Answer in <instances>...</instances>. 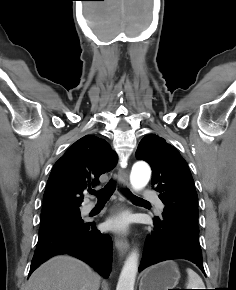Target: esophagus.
<instances>
[{
	"instance_id": "34e87169",
	"label": "esophagus",
	"mask_w": 236,
	"mask_h": 290,
	"mask_svg": "<svg viewBox=\"0 0 236 290\" xmlns=\"http://www.w3.org/2000/svg\"><path fill=\"white\" fill-rule=\"evenodd\" d=\"M117 183L120 189H126L129 186L128 171L126 169L120 168L117 175ZM119 199L124 201V196L119 193ZM115 246L120 254L124 256L129 250L128 239L124 236H116L114 238Z\"/></svg>"
}]
</instances>
